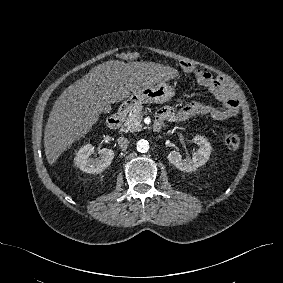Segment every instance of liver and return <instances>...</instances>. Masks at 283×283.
<instances>
[{"instance_id":"6515ba94","label":"liver","mask_w":283,"mask_h":283,"mask_svg":"<svg viewBox=\"0 0 283 283\" xmlns=\"http://www.w3.org/2000/svg\"><path fill=\"white\" fill-rule=\"evenodd\" d=\"M175 76V69L154 62L110 60L92 68L66 88L53 105L44 131L48 163L55 164L72 143L91 130L101 112H110L111 104Z\"/></svg>"}]
</instances>
